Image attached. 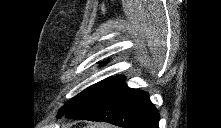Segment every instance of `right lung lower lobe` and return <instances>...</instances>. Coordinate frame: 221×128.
Returning a JSON list of instances; mask_svg holds the SVG:
<instances>
[{"mask_svg": "<svg viewBox=\"0 0 221 128\" xmlns=\"http://www.w3.org/2000/svg\"><path fill=\"white\" fill-rule=\"evenodd\" d=\"M71 119L108 122L124 128H159V112L148 93L122 83L88 105L66 113Z\"/></svg>", "mask_w": 221, "mask_h": 128, "instance_id": "98d812e1", "label": "right lung lower lobe"}]
</instances>
